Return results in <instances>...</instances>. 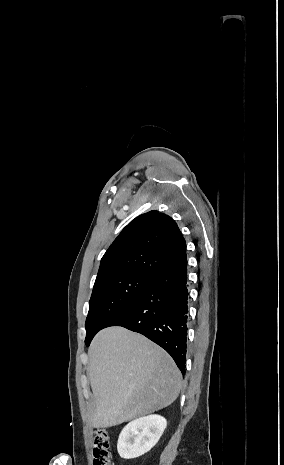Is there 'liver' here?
Listing matches in <instances>:
<instances>
[{"label":"liver","instance_id":"1","mask_svg":"<svg viewBox=\"0 0 284 465\" xmlns=\"http://www.w3.org/2000/svg\"><path fill=\"white\" fill-rule=\"evenodd\" d=\"M88 357L95 429L155 413L180 393L182 377L173 359L138 333L122 327L103 329L94 337Z\"/></svg>","mask_w":284,"mask_h":465}]
</instances>
